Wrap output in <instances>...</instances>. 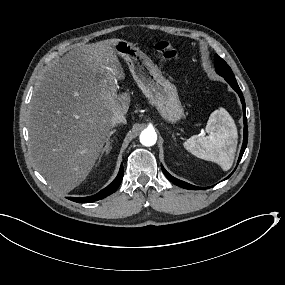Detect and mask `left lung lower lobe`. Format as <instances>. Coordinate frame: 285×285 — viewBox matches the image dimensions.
I'll use <instances>...</instances> for the list:
<instances>
[{
	"instance_id": "0a47b994",
	"label": "left lung lower lobe",
	"mask_w": 285,
	"mask_h": 285,
	"mask_svg": "<svg viewBox=\"0 0 285 285\" xmlns=\"http://www.w3.org/2000/svg\"><path fill=\"white\" fill-rule=\"evenodd\" d=\"M231 86L232 88L238 93V95L240 96L241 98V102H242V105H243V112H244V140H243V145H242V149H241V152H240V156H239V159H238V163L239 161L241 160L242 158V155L245 151V148L247 146V139H248V127H247V119H246V114H245V109H246V106H245V101H244V97H243V94L236 82V79H229V80H226ZM161 168H162V171L163 173L165 174V176L171 181L173 182L174 184L180 186V187H183L185 189H189V190H203V189H208V188H211V187H196L194 185H191L189 183H186L184 181H181L175 177H173L172 175H170L165 169L164 167L161 165ZM233 174V172L225 179H228L231 175ZM224 179V180H225ZM213 187V186H212Z\"/></svg>"
}]
</instances>
